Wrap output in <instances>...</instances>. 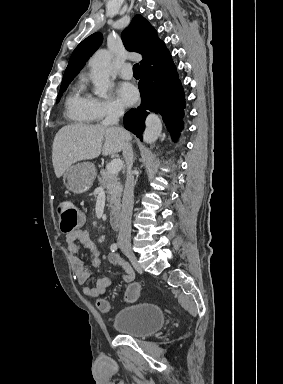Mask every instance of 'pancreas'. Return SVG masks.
I'll return each instance as SVG.
<instances>
[{"label":"pancreas","mask_w":283,"mask_h":384,"mask_svg":"<svg viewBox=\"0 0 283 384\" xmlns=\"http://www.w3.org/2000/svg\"><path fill=\"white\" fill-rule=\"evenodd\" d=\"M98 182H100L101 186H104V188H106V192L108 194V210L111 216H113V214H117V212H120L121 210L120 204L123 190V186H121L117 174L107 176L105 170H100Z\"/></svg>","instance_id":"pancreas-1"}]
</instances>
